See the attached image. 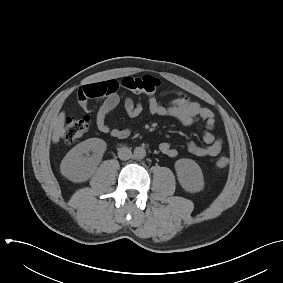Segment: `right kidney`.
Returning <instances> with one entry per match:
<instances>
[{
  "label": "right kidney",
  "mask_w": 283,
  "mask_h": 283,
  "mask_svg": "<svg viewBox=\"0 0 283 283\" xmlns=\"http://www.w3.org/2000/svg\"><path fill=\"white\" fill-rule=\"evenodd\" d=\"M106 148V142L99 138H90L77 144L60 164L62 175L73 182L87 181L101 161Z\"/></svg>",
  "instance_id": "right-kidney-1"
}]
</instances>
